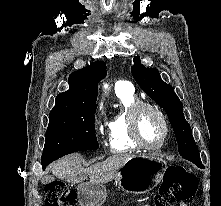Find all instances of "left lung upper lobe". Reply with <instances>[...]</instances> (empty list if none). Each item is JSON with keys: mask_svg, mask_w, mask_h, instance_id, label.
<instances>
[{"mask_svg": "<svg viewBox=\"0 0 221 206\" xmlns=\"http://www.w3.org/2000/svg\"><path fill=\"white\" fill-rule=\"evenodd\" d=\"M131 72L138 85L167 112L176 135L180 155L193 163H200L191 127L184 117L182 103L173 87L161 79L157 69L146 68L141 64L139 56L134 57Z\"/></svg>", "mask_w": 221, "mask_h": 206, "instance_id": "left-lung-upper-lobe-1", "label": "left lung upper lobe"}]
</instances>
